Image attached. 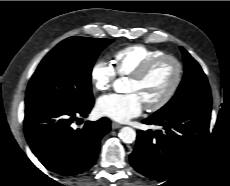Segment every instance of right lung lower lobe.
<instances>
[{
	"instance_id": "1",
	"label": "right lung lower lobe",
	"mask_w": 230,
	"mask_h": 186,
	"mask_svg": "<svg viewBox=\"0 0 230 186\" xmlns=\"http://www.w3.org/2000/svg\"><path fill=\"white\" fill-rule=\"evenodd\" d=\"M94 99L80 105L44 101L26 105L24 132L27 142L50 171L76 175L90 169L98 157L100 140L110 131V120L88 121L82 129L71 124L78 117H87Z\"/></svg>"
}]
</instances>
